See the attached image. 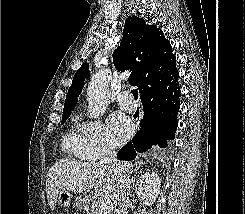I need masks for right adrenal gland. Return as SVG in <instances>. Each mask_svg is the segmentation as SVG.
<instances>
[{
    "label": "right adrenal gland",
    "instance_id": "2a0ac1e0",
    "mask_svg": "<svg viewBox=\"0 0 245 214\" xmlns=\"http://www.w3.org/2000/svg\"><path fill=\"white\" fill-rule=\"evenodd\" d=\"M144 165L143 162H140L138 165L136 164L135 166V171H134V175L132 176L131 178V189H134V185H135V177L137 176V174L139 173L140 175V172H138V170Z\"/></svg>",
    "mask_w": 245,
    "mask_h": 214
}]
</instances>
